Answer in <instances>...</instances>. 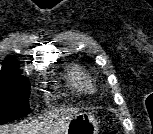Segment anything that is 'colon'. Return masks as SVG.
Masks as SVG:
<instances>
[{
    "label": "colon",
    "instance_id": "5ec220e1",
    "mask_svg": "<svg viewBox=\"0 0 153 134\" xmlns=\"http://www.w3.org/2000/svg\"><path fill=\"white\" fill-rule=\"evenodd\" d=\"M103 134H118V132L117 131H110V132L103 133Z\"/></svg>",
    "mask_w": 153,
    "mask_h": 134
}]
</instances>
